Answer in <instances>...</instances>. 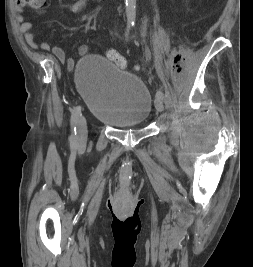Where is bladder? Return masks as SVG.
<instances>
[{
	"mask_svg": "<svg viewBox=\"0 0 253 267\" xmlns=\"http://www.w3.org/2000/svg\"><path fill=\"white\" fill-rule=\"evenodd\" d=\"M77 87L92 116L102 123L127 127L143 124L150 117L152 96L145 83L102 56L80 58Z\"/></svg>",
	"mask_w": 253,
	"mask_h": 267,
	"instance_id": "31cf9c89",
	"label": "bladder"
}]
</instances>
